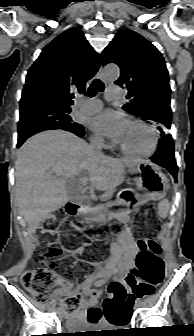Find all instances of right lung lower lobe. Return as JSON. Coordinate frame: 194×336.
I'll list each match as a JSON object with an SVG mask.
<instances>
[{
    "label": "right lung lower lobe",
    "mask_w": 194,
    "mask_h": 336,
    "mask_svg": "<svg viewBox=\"0 0 194 336\" xmlns=\"http://www.w3.org/2000/svg\"><path fill=\"white\" fill-rule=\"evenodd\" d=\"M72 133L76 134L79 137H83L84 136V130L83 131L72 132ZM28 138L29 137L19 138L18 139V143H17V147L19 148L25 142V140L28 139Z\"/></svg>",
    "instance_id": "98d812e1"
}]
</instances>
